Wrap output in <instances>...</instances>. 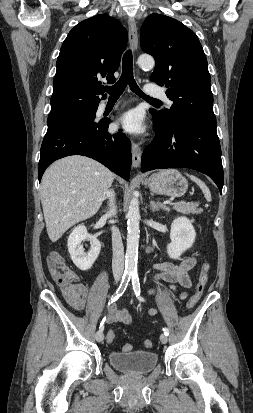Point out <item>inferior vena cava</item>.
Here are the masks:
<instances>
[{
  "instance_id": "1",
  "label": "inferior vena cava",
  "mask_w": 253,
  "mask_h": 413,
  "mask_svg": "<svg viewBox=\"0 0 253 413\" xmlns=\"http://www.w3.org/2000/svg\"><path fill=\"white\" fill-rule=\"evenodd\" d=\"M107 198L110 200L109 211L107 216L111 217L116 214V207L114 204V192L107 191ZM112 250H113V259H112V270L114 276L121 277L124 270V247L122 243V238L119 230L116 227H112Z\"/></svg>"
}]
</instances>
